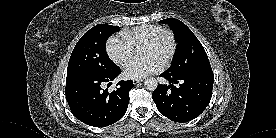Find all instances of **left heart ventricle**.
Instances as JSON below:
<instances>
[{"label":"left heart ventricle","instance_id":"left-heart-ventricle-1","mask_svg":"<svg viewBox=\"0 0 276 138\" xmlns=\"http://www.w3.org/2000/svg\"><path fill=\"white\" fill-rule=\"evenodd\" d=\"M170 40L168 37H164L161 42L156 46H145L142 49V56L145 58L154 57L161 63L164 61L170 51Z\"/></svg>","mask_w":276,"mask_h":138}]
</instances>
